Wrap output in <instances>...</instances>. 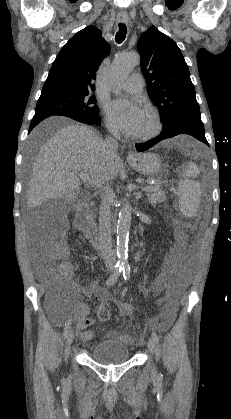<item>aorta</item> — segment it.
Instances as JSON below:
<instances>
[{"instance_id": "aorta-1", "label": "aorta", "mask_w": 231, "mask_h": 419, "mask_svg": "<svg viewBox=\"0 0 231 419\" xmlns=\"http://www.w3.org/2000/svg\"><path fill=\"white\" fill-rule=\"evenodd\" d=\"M140 63L137 54L118 55L114 58L111 66V78L113 81H121L128 77L135 66ZM132 207L125 204L119 212L117 222V257L121 267H128V240L131 226Z\"/></svg>"}]
</instances>
